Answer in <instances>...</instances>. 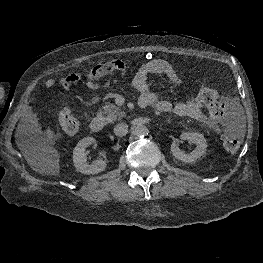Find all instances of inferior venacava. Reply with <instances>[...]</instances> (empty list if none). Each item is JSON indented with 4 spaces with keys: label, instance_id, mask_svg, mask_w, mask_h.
<instances>
[{
    "label": "inferior vena cava",
    "instance_id": "obj_1",
    "mask_svg": "<svg viewBox=\"0 0 263 263\" xmlns=\"http://www.w3.org/2000/svg\"><path fill=\"white\" fill-rule=\"evenodd\" d=\"M114 133L118 137H123L128 133V125L126 123H119L114 127Z\"/></svg>",
    "mask_w": 263,
    "mask_h": 263
}]
</instances>
